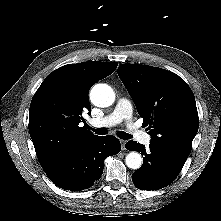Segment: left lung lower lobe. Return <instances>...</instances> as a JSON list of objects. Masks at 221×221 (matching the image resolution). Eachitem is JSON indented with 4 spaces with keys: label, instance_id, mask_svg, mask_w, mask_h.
<instances>
[{
    "label": "left lung lower lobe",
    "instance_id": "1",
    "mask_svg": "<svg viewBox=\"0 0 221 221\" xmlns=\"http://www.w3.org/2000/svg\"><path fill=\"white\" fill-rule=\"evenodd\" d=\"M126 148L144 156L141 168L132 174L134 185L141 190H157L168 186L177 178L185 163L153 144L145 149L144 145L136 141H128Z\"/></svg>",
    "mask_w": 221,
    "mask_h": 221
}]
</instances>
